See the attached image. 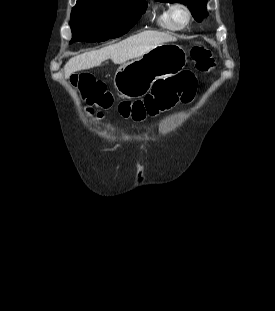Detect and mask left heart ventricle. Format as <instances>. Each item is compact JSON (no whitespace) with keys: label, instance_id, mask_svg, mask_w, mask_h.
<instances>
[{"label":"left heart ventricle","instance_id":"1","mask_svg":"<svg viewBox=\"0 0 275 311\" xmlns=\"http://www.w3.org/2000/svg\"><path fill=\"white\" fill-rule=\"evenodd\" d=\"M174 17H175V21L180 25H182L186 20V15L181 10L176 11Z\"/></svg>","mask_w":275,"mask_h":311}]
</instances>
